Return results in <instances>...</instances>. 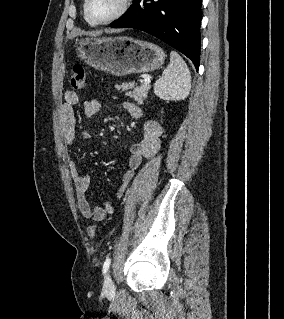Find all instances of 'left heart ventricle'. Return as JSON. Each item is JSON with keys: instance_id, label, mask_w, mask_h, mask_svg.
Returning a JSON list of instances; mask_svg holds the SVG:
<instances>
[{"instance_id": "left-heart-ventricle-1", "label": "left heart ventricle", "mask_w": 284, "mask_h": 319, "mask_svg": "<svg viewBox=\"0 0 284 319\" xmlns=\"http://www.w3.org/2000/svg\"><path fill=\"white\" fill-rule=\"evenodd\" d=\"M121 0H89L88 11L94 20H104L113 15Z\"/></svg>"}]
</instances>
